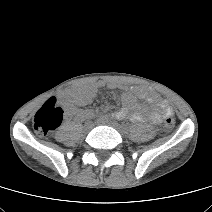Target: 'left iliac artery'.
Returning a JSON list of instances; mask_svg holds the SVG:
<instances>
[{"mask_svg":"<svg viewBox=\"0 0 212 212\" xmlns=\"http://www.w3.org/2000/svg\"><path fill=\"white\" fill-rule=\"evenodd\" d=\"M121 127H122L123 130H127L128 129L127 125H125V124H122Z\"/></svg>","mask_w":212,"mask_h":212,"instance_id":"obj_1","label":"left iliac artery"}]
</instances>
